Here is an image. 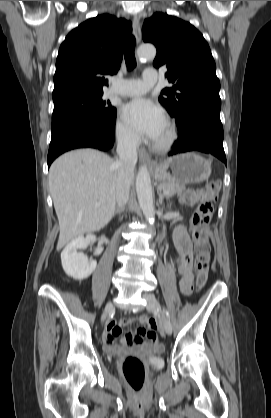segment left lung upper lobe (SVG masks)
Masks as SVG:
<instances>
[{"label": "left lung upper lobe", "mask_w": 271, "mask_h": 418, "mask_svg": "<svg viewBox=\"0 0 271 418\" xmlns=\"http://www.w3.org/2000/svg\"><path fill=\"white\" fill-rule=\"evenodd\" d=\"M143 40L153 43L156 68L165 66L173 84L162 90L160 103L176 120L197 111L220 112V81L216 65L203 35L190 23L157 12L145 20Z\"/></svg>", "instance_id": "obj_1"}]
</instances>
